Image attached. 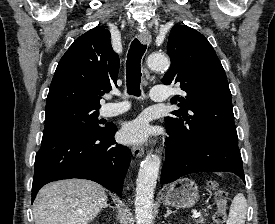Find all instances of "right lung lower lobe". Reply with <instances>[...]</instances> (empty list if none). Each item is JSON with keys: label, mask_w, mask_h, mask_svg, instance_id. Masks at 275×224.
I'll list each match as a JSON object with an SVG mask.
<instances>
[{"label": "right lung lower lobe", "mask_w": 275, "mask_h": 224, "mask_svg": "<svg viewBox=\"0 0 275 224\" xmlns=\"http://www.w3.org/2000/svg\"><path fill=\"white\" fill-rule=\"evenodd\" d=\"M116 130L114 124L98 133L44 130L35 157L32 202L43 185L70 178L95 181L122 196L130 154L128 147L115 141Z\"/></svg>", "instance_id": "98d812e1"}]
</instances>
